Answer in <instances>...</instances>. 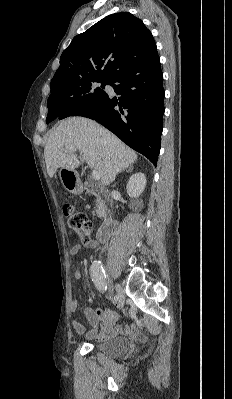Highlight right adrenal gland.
<instances>
[{"mask_svg": "<svg viewBox=\"0 0 232 399\" xmlns=\"http://www.w3.org/2000/svg\"><path fill=\"white\" fill-rule=\"evenodd\" d=\"M134 166H129V168H124V170H120V172H132ZM120 172H117V174H120Z\"/></svg>", "mask_w": 232, "mask_h": 399, "instance_id": "2a0ac1e0", "label": "right adrenal gland"}]
</instances>
